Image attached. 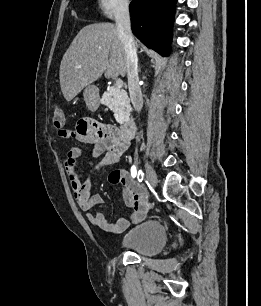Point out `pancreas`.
I'll return each instance as SVG.
<instances>
[{
	"mask_svg": "<svg viewBox=\"0 0 261 306\" xmlns=\"http://www.w3.org/2000/svg\"><path fill=\"white\" fill-rule=\"evenodd\" d=\"M101 102L113 111L118 123H124L129 118L131 107L125 90L112 86L104 92Z\"/></svg>",
	"mask_w": 261,
	"mask_h": 306,
	"instance_id": "pancreas-1",
	"label": "pancreas"
}]
</instances>
